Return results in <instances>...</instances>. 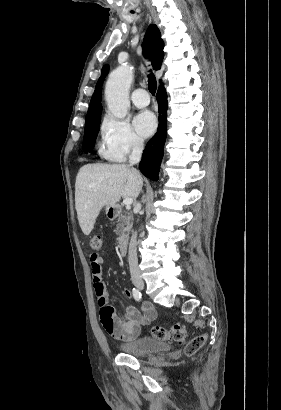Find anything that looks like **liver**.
I'll use <instances>...</instances> for the list:
<instances>
[{"mask_svg":"<svg viewBox=\"0 0 281 410\" xmlns=\"http://www.w3.org/2000/svg\"><path fill=\"white\" fill-rule=\"evenodd\" d=\"M140 173L125 164H86L75 182V208L82 232L88 236L104 206L122 198L136 199L142 189Z\"/></svg>","mask_w":281,"mask_h":410,"instance_id":"liver-1","label":"liver"}]
</instances>
